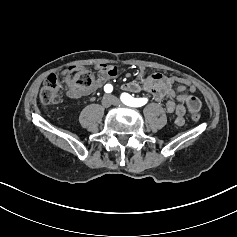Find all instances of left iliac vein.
Instances as JSON below:
<instances>
[{"instance_id": "4c4485c4", "label": "left iliac vein", "mask_w": 237, "mask_h": 237, "mask_svg": "<svg viewBox=\"0 0 237 237\" xmlns=\"http://www.w3.org/2000/svg\"><path fill=\"white\" fill-rule=\"evenodd\" d=\"M111 98H112V104L113 105H115V106H122L123 105L122 102L118 98H116L112 95H111Z\"/></svg>"}]
</instances>
